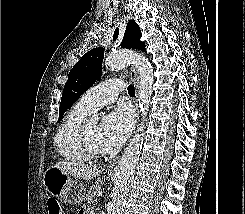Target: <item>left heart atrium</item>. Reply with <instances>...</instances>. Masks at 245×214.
I'll return each instance as SVG.
<instances>
[{
	"label": "left heart atrium",
	"instance_id": "39dd6f15",
	"mask_svg": "<svg viewBox=\"0 0 245 214\" xmlns=\"http://www.w3.org/2000/svg\"><path fill=\"white\" fill-rule=\"evenodd\" d=\"M133 124L131 112L119 107L106 115L98 127L97 140L102 151H117L126 141Z\"/></svg>",
	"mask_w": 245,
	"mask_h": 214
}]
</instances>
